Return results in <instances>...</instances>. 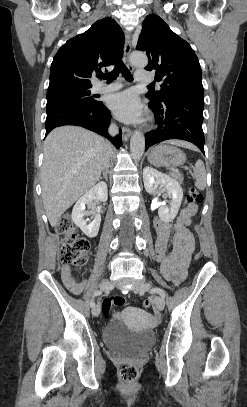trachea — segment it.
Instances as JSON below:
<instances>
[{
    "mask_svg": "<svg viewBox=\"0 0 247 407\" xmlns=\"http://www.w3.org/2000/svg\"><path fill=\"white\" fill-rule=\"evenodd\" d=\"M119 72L122 73V76L127 80V81H133V75L130 73V71L128 70V68L124 65V63L122 61H119L115 68L113 69V71H111L110 73H106V74H99V78L101 79H105L107 80V82H112L114 81L117 77ZM149 86H153L152 84H150Z\"/></svg>",
    "mask_w": 247,
    "mask_h": 407,
    "instance_id": "1",
    "label": "trachea"
}]
</instances>
